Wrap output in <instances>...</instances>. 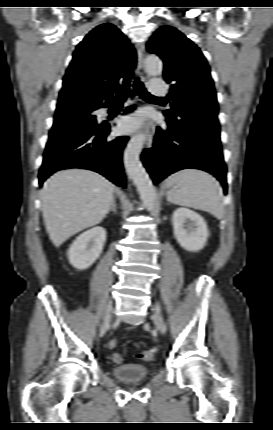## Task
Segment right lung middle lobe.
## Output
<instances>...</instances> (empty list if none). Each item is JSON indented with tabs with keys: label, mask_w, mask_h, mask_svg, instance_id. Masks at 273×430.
Here are the masks:
<instances>
[{
	"label": "right lung middle lobe",
	"mask_w": 273,
	"mask_h": 430,
	"mask_svg": "<svg viewBox=\"0 0 273 430\" xmlns=\"http://www.w3.org/2000/svg\"><path fill=\"white\" fill-rule=\"evenodd\" d=\"M96 106L81 100L67 101L58 106L55 112V122L49 133V141L61 139L70 135L87 132L98 124L93 112Z\"/></svg>",
	"instance_id": "dd1d6c3e"
}]
</instances>
